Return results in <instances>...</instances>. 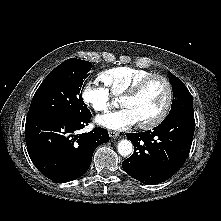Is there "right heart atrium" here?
<instances>
[{"instance_id":"d8ad5b80","label":"right heart atrium","mask_w":221,"mask_h":221,"mask_svg":"<svg viewBox=\"0 0 221 221\" xmlns=\"http://www.w3.org/2000/svg\"><path fill=\"white\" fill-rule=\"evenodd\" d=\"M82 101L97 113H106L112 106L108 91L95 82H86L81 89Z\"/></svg>"}]
</instances>
